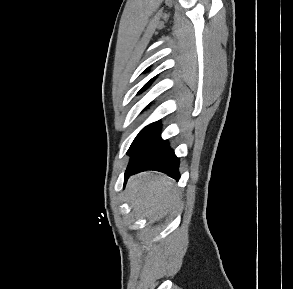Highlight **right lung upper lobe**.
I'll use <instances>...</instances> for the list:
<instances>
[{"label":"right lung upper lobe","mask_w":293,"mask_h":289,"mask_svg":"<svg viewBox=\"0 0 293 289\" xmlns=\"http://www.w3.org/2000/svg\"><path fill=\"white\" fill-rule=\"evenodd\" d=\"M153 80H154V78L151 79L148 83H146V84L144 85V87L139 91V93L142 92V91H144L147 87H149L150 84L153 82Z\"/></svg>","instance_id":"cb5924a9"}]
</instances>
